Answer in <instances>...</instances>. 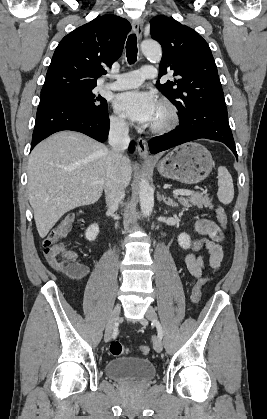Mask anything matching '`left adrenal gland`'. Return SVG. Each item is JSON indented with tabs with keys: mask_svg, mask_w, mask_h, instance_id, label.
<instances>
[{
	"mask_svg": "<svg viewBox=\"0 0 267 419\" xmlns=\"http://www.w3.org/2000/svg\"><path fill=\"white\" fill-rule=\"evenodd\" d=\"M160 199L163 200V202L165 204L169 205V206H172V207H176L177 206V203H175L171 198L165 197L164 195H162L160 197Z\"/></svg>",
	"mask_w": 267,
	"mask_h": 419,
	"instance_id": "obj_1",
	"label": "left adrenal gland"
}]
</instances>
